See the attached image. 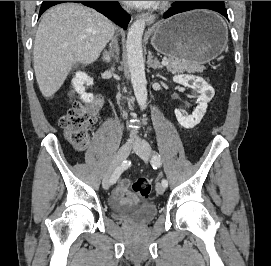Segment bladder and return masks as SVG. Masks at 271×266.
<instances>
[{
	"label": "bladder",
	"instance_id": "1",
	"mask_svg": "<svg viewBox=\"0 0 271 266\" xmlns=\"http://www.w3.org/2000/svg\"><path fill=\"white\" fill-rule=\"evenodd\" d=\"M113 212L120 220L142 226L155 218L157 215V208L154 204L146 202L124 214H119L116 209H114Z\"/></svg>",
	"mask_w": 271,
	"mask_h": 266
}]
</instances>
